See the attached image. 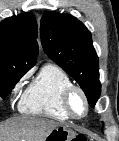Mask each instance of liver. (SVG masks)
I'll return each instance as SVG.
<instances>
[{
  "label": "liver",
  "mask_w": 119,
  "mask_h": 141,
  "mask_svg": "<svg viewBox=\"0 0 119 141\" xmlns=\"http://www.w3.org/2000/svg\"><path fill=\"white\" fill-rule=\"evenodd\" d=\"M59 126L60 123L45 118H18L0 126V141H44Z\"/></svg>",
  "instance_id": "1"
}]
</instances>
